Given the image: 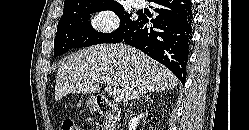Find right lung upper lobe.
Returning a JSON list of instances; mask_svg holds the SVG:
<instances>
[{
  "mask_svg": "<svg viewBox=\"0 0 249 130\" xmlns=\"http://www.w3.org/2000/svg\"><path fill=\"white\" fill-rule=\"evenodd\" d=\"M105 2H116L115 0H65L64 10H80L89 5Z\"/></svg>",
  "mask_w": 249,
  "mask_h": 130,
  "instance_id": "1",
  "label": "right lung upper lobe"
}]
</instances>
